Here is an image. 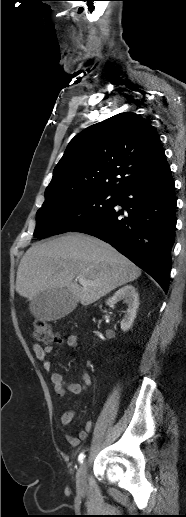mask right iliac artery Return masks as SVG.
<instances>
[{"label":"right iliac artery","mask_w":186,"mask_h":517,"mask_svg":"<svg viewBox=\"0 0 186 517\" xmlns=\"http://www.w3.org/2000/svg\"><path fill=\"white\" fill-rule=\"evenodd\" d=\"M84 458H85V455H84L83 453H81V454L79 455V457H78L79 462H80V463H82V462H83V460H84Z\"/></svg>","instance_id":"obj_1"}]
</instances>
